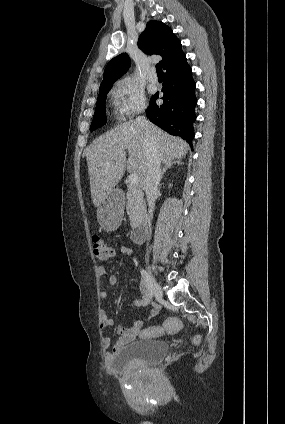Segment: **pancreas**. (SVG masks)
Segmentation results:
<instances>
[{
	"label": "pancreas",
	"mask_w": 285,
	"mask_h": 424,
	"mask_svg": "<svg viewBox=\"0 0 285 424\" xmlns=\"http://www.w3.org/2000/svg\"><path fill=\"white\" fill-rule=\"evenodd\" d=\"M126 210L130 218L131 227H137L146 213L144 196L139 188L128 186Z\"/></svg>",
	"instance_id": "cf45deb5"
}]
</instances>
